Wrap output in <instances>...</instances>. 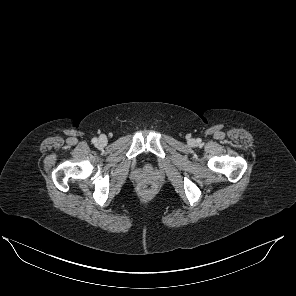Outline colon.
Returning <instances> with one entry per match:
<instances>
[{
	"mask_svg": "<svg viewBox=\"0 0 296 296\" xmlns=\"http://www.w3.org/2000/svg\"><path fill=\"white\" fill-rule=\"evenodd\" d=\"M139 190L143 196H150L155 191V185L152 182L146 181L140 184Z\"/></svg>",
	"mask_w": 296,
	"mask_h": 296,
	"instance_id": "1",
	"label": "colon"
}]
</instances>
